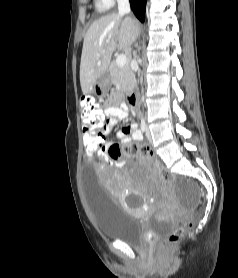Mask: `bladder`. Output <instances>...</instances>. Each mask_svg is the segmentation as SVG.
<instances>
[{
  "mask_svg": "<svg viewBox=\"0 0 238 278\" xmlns=\"http://www.w3.org/2000/svg\"><path fill=\"white\" fill-rule=\"evenodd\" d=\"M83 171L84 180H95L93 167H84ZM84 189L95 224L107 239L141 247L145 245L149 232H162L173 225L169 218L147 222L128 214L108 190L99 186V181H85Z\"/></svg>",
  "mask_w": 238,
  "mask_h": 278,
  "instance_id": "31cf9c89",
  "label": "bladder"
}]
</instances>
